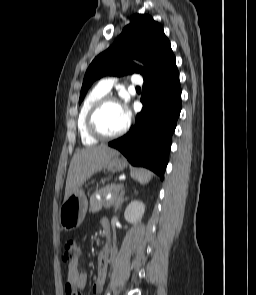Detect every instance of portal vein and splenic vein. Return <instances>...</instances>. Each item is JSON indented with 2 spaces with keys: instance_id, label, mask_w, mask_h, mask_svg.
Listing matches in <instances>:
<instances>
[{
  "instance_id": "portal-vein-and-splenic-vein-1",
  "label": "portal vein and splenic vein",
  "mask_w": 256,
  "mask_h": 295,
  "mask_svg": "<svg viewBox=\"0 0 256 295\" xmlns=\"http://www.w3.org/2000/svg\"><path fill=\"white\" fill-rule=\"evenodd\" d=\"M122 186V185H121ZM114 203V199L111 197L110 199H109V201H108V204L109 205H112Z\"/></svg>"
}]
</instances>
